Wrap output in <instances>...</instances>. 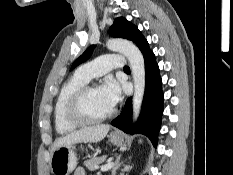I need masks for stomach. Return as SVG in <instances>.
<instances>
[{
  "instance_id": "obj_1",
  "label": "stomach",
  "mask_w": 233,
  "mask_h": 175,
  "mask_svg": "<svg viewBox=\"0 0 233 175\" xmlns=\"http://www.w3.org/2000/svg\"><path fill=\"white\" fill-rule=\"evenodd\" d=\"M108 137L116 146H122L125 143L124 135L119 132H113ZM76 166L77 156L74 146H61L52 152L50 168L53 175H69Z\"/></svg>"
}]
</instances>
